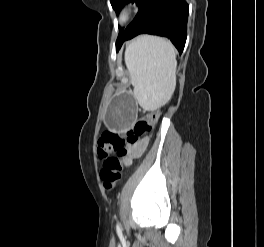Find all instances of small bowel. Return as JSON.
<instances>
[{"instance_id": "small-bowel-1", "label": "small bowel", "mask_w": 264, "mask_h": 247, "mask_svg": "<svg viewBox=\"0 0 264 247\" xmlns=\"http://www.w3.org/2000/svg\"><path fill=\"white\" fill-rule=\"evenodd\" d=\"M147 141L143 140L140 143L134 145L131 148V158H137L141 155V153L143 152L144 148L146 147ZM129 159L126 160V163L129 164Z\"/></svg>"}]
</instances>
